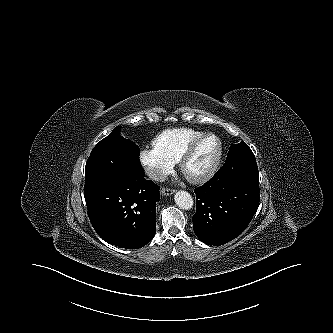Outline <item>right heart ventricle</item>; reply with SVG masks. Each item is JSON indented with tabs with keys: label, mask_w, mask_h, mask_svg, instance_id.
<instances>
[{
	"label": "right heart ventricle",
	"mask_w": 333,
	"mask_h": 333,
	"mask_svg": "<svg viewBox=\"0 0 333 333\" xmlns=\"http://www.w3.org/2000/svg\"><path fill=\"white\" fill-rule=\"evenodd\" d=\"M203 134L202 131L190 128L165 130L154 139L153 149L176 163L186 148Z\"/></svg>",
	"instance_id": "obj_1"
}]
</instances>
